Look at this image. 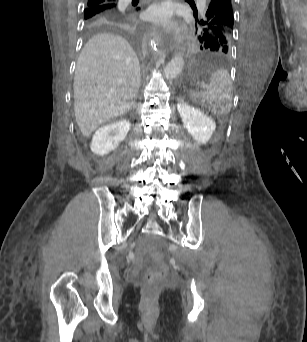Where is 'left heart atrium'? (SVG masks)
<instances>
[{"instance_id": "1", "label": "left heart atrium", "mask_w": 307, "mask_h": 342, "mask_svg": "<svg viewBox=\"0 0 307 342\" xmlns=\"http://www.w3.org/2000/svg\"><path fill=\"white\" fill-rule=\"evenodd\" d=\"M149 19L159 25H167L171 17V9L166 5L153 6L148 11Z\"/></svg>"}]
</instances>
